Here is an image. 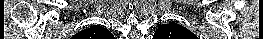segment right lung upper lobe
<instances>
[{"instance_id":"obj_1","label":"right lung upper lobe","mask_w":263,"mask_h":39,"mask_svg":"<svg viewBox=\"0 0 263 39\" xmlns=\"http://www.w3.org/2000/svg\"><path fill=\"white\" fill-rule=\"evenodd\" d=\"M112 36L110 31L99 25H93L77 34L82 39H111Z\"/></svg>"}]
</instances>
